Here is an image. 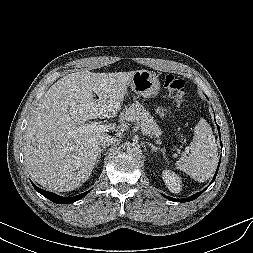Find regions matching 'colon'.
<instances>
[{
  "label": "colon",
  "instance_id": "obj_1",
  "mask_svg": "<svg viewBox=\"0 0 253 253\" xmlns=\"http://www.w3.org/2000/svg\"><path fill=\"white\" fill-rule=\"evenodd\" d=\"M163 84L176 104L181 105L185 101V84L182 79L172 74H165Z\"/></svg>",
  "mask_w": 253,
  "mask_h": 253
}]
</instances>
